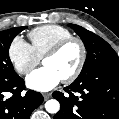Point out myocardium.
Masks as SVG:
<instances>
[{
  "label": "myocardium",
  "mask_w": 119,
  "mask_h": 119,
  "mask_svg": "<svg viewBox=\"0 0 119 119\" xmlns=\"http://www.w3.org/2000/svg\"><path fill=\"white\" fill-rule=\"evenodd\" d=\"M72 43L78 44L80 51H81V56H80L79 63L77 67L75 68V70L71 74H69L68 76L62 79L65 83H70V82H73L75 79H77L85 66V63L87 60V48L83 40L76 36H71L69 38H66L60 41L59 43H57L55 46H53L43 57V61L46 58L54 57L60 54L68 45Z\"/></svg>",
  "instance_id": "f54148a6"
}]
</instances>
